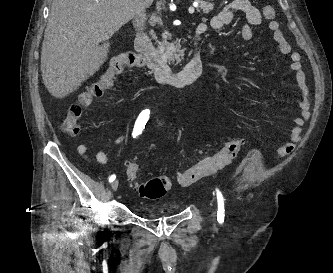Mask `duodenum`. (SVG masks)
<instances>
[{"label":"duodenum","mask_w":333,"mask_h":273,"mask_svg":"<svg viewBox=\"0 0 333 273\" xmlns=\"http://www.w3.org/2000/svg\"><path fill=\"white\" fill-rule=\"evenodd\" d=\"M201 33L197 28L191 57L185 67L178 72H172L167 62L154 50L147 31H139L136 34L135 46L156 81L173 87H184L195 82L202 73V62L198 49Z\"/></svg>","instance_id":"duodenum-1"}]
</instances>
